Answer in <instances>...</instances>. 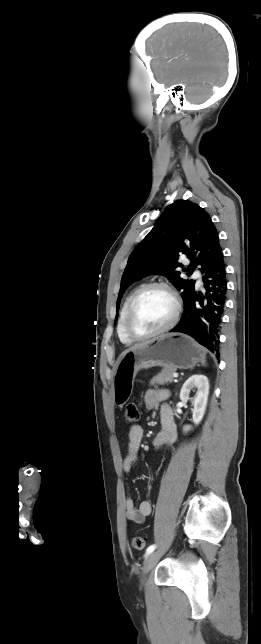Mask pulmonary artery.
Returning a JSON list of instances; mask_svg holds the SVG:
<instances>
[{
    "instance_id": "obj_1",
    "label": "pulmonary artery",
    "mask_w": 261,
    "mask_h": 644,
    "mask_svg": "<svg viewBox=\"0 0 261 644\" xmlns=\"http://www.w3.org/2000/svg\"><path fill=\"white\" fill-rule=\"evenodd\" d=\"M194 277L197 279V284H198L199 286H201V285H202V280H201V276H200V274H199L198 272H195V273H194Z\"/></svg>"
}]
</instances>
